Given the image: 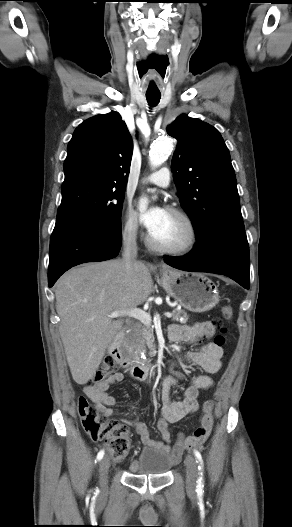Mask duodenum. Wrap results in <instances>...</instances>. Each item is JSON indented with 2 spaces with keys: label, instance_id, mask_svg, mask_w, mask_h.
<instances>
[{
  "label": "duodenum",
  "instance_id": "410a0bca",
  "mask_svg": "<svg viewBox=\"0 0 292 527\" xmlns=\"http://www.w3.org/2000/svg\"><path fill=\"white\" fill-rule=\"evenodd\" d=\"M124 332H119L115 340L110 348V352L115 356L118 360L124 362V364H127L126 361L123 359L121 350H120V343L123 339ZM152 371V366L150 364H143V365H134L131 367V373L133 376L137 379H144L146 378L150 372Z\"/></svg>",
  "mask_w": 292,
  "mask_h": 527
}]
</instances>
